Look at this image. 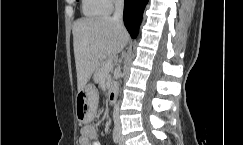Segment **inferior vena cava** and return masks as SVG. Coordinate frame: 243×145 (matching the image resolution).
<instances>
[{"instance_id":"1","label":"inferior vena cava","mask_w":243,"mask_h":145,"mask_svg":"<svg viewBox=\"0 0 243 145\" xmlns=\"http://www.w3.org/2000/svg\"><path fill=\"white\" fill-rule=\"evenodd\" d=\"M123 6H124L123 0H115V11L112 16V20L121 25H123ZM117 113H118V105H115L114 115L117 116Z\"/></svg>"}]
</instances>
